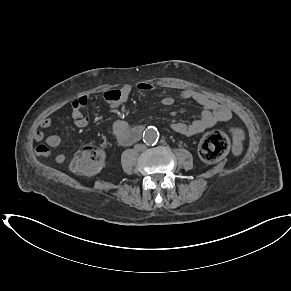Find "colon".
<instances>
[{
    "label": "colon",
    "instance_id": "obj_1",
    "mask_svg": "<svg viewBox=\"0 0 291 291\" xmlns=\"http://www.w3.org/2000/svg\"><path fill=\"white\" fill-rule=\"evenodd\" d=\"M236 140L241 139V131L237 128L232 130ZM228 137L220 131L208 133L201 141L199 152L200 156L206 162L219 161L229 149ZM40 151L45 148L40 146ZM103 151L94 145H88L80 148L70 162V170L76 174L89 175L96 172L103 164Z\"/></svg>",
    "mask_w": 291,
    "mask_h": 291
}]
</instances>
